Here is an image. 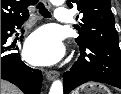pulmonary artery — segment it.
Returning <instances> with one entry per match:
<instances>
[{
	"mask_svg": "<svg viewBox=\"0 0 121 94\" xmlns=\"http://www.w3.org/2000/svg\"><path fill=\"white\" fill-rule=\"evenodd\" d=\"M55 18L59 22H68L71 19L70 12L66 8H58L55 13Z\"/></svg>",
	"mask_w": 121,
	"mask_h": 94,
	"instance_id": "1",
	"label": "pulmonary artery"
}]
</instances>
